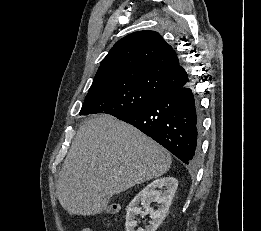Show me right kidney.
<instances>
[{"label":"right kidney","mask_w":261,"mask_h":231,"mask_svg":"<svg viewBox=\"0 0 261 231\" xmlns=\"http://www.w3.org/2000/svg\"><path fill=\"white\" fill-rule=\"evenodd\" d=\"M177 186V179L167 176L156 179L141 190L130 202L127 208L125 223L126 231H135V227L137 226L135 216L141 214L143 217L147 213L150 214L151 218L149 225L146 226L145 229L139 228L137 231H156L169 210L172 199L177 190ZM157 189H163V191H158ZM152 202L158 203L157 210H153L150 207ZM140 203L146 209V212H142L139 207Z\"/></svg>","instance_id":"obj_1"}]
</instances>
